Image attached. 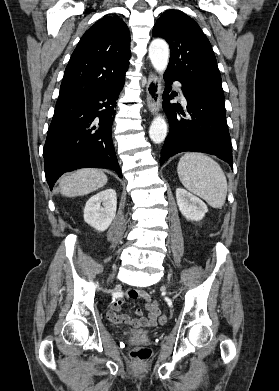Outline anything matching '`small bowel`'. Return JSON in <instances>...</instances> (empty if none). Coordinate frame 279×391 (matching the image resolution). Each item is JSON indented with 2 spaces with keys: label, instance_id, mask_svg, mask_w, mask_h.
Wrapping results in <instances>:
<instances>
[{
  "label": "small bowel",
  "instance_id": "obj_1",
  "mask_svg": "<svg viewBox=\"0 0 279 391\" xmlns=\"http://www.w3.org/2000/svg\"><path fill=\"white\" fill-rule=\"evenodd\" d=\"M124 297L129 299H142L145 301V306L148 311V316H142V311L137 309L135 311V318H131L128 315L119 314L121 307L124 303ZM160 310L158 304L151 299L148 293L143 290L130 289L124 296L117 297L111 304L110 309L107 312L109 320L114 324H128L137 328L153 327L157 324Z\"/></svg>",
  "mask_w": 279,
  "mask_h": 391
}]
</instances>
